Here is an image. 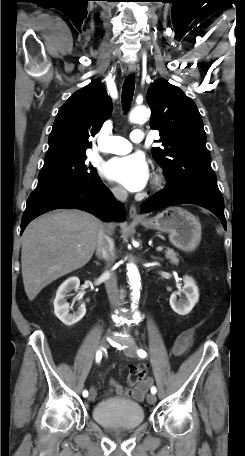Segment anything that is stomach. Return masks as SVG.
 <instances>
[{
  "label": "stomach",
  "mask_w": 245,
  "mask_h": 456,
  "mask_svg": "<svg viewBox=\"0 0 245 456\" xmlns=\"http://www.w3.org/2000/svg\"><path fill=\"white\" fill-rule=\"evenodd\" d=\"M147 228L167 233L170 242L183 251H193L201 240V223L189 211L180 207L167 208L156 216L140 220Z\"/></svg>",
  "instance_id": "0dacf381"
}]
</instances>
